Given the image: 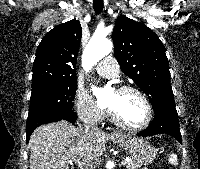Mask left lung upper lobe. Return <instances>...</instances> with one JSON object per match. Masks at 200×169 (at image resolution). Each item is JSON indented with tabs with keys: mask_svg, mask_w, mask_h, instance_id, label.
<instances>
[{
	"mask_svg": "<svg viewBox=\"0 0 200 169\" xmlns=\"http://www.w3.org/2000/svg\"><path fill=\"white\" fill-rule=\"evenodd\" d=\"M112 39L122 72L148 96L154 111L175 108L169 63L159 37L144 24L121 15Z\"/></svg>",
	"mask_w": 200,
	"mask_h": 169,
	"instance_id": "left-lung-upper-lobe-1",
	"label": "left lung upper lobe"
}]
</instances>
